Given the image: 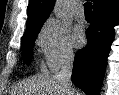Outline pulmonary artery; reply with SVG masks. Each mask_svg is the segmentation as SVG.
Here are the masks:
<instances>
[{"mask_svg": "<svg viewBox=\"0 0 119 95\" xmlns=\"http://www.w3.org/2000/svg\"><path fill=\"white\" fill-rule=\"evenodd\" d=\"M75 17H76L77 21H79V22H84L85 21V14H84V11H83L82 7L77 8Z\"/></svg>", "mask_w": 119, "mask_h": 95, "instance_id": "1", "label": "pulmonary artery"}]
</instances>
